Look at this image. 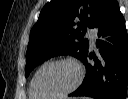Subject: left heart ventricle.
<instances>
[{"instance_id": "obj_1", "label": "left heart ventricle", "mask_w": 128, "mask_h": 99, "mask_svg": "<svg viewBox=\"0 0 128 99\" xmlns=\"http://www.w3.org/2000/svg\"><path fill=\"white\" fill-rule=\"evenodd\" d=\"M77 79L75 67L69 63H59L43 69L35 82V90L41 95H53L71 87Z\"/></svg>"}]
</instances>
